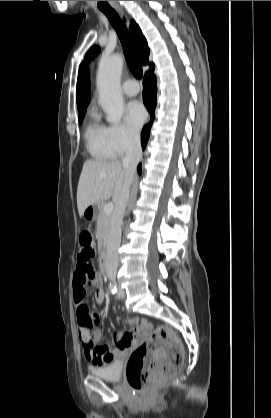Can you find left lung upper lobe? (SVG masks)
Segmentation results:
<instances>
[{"mask_svg": "<svg viewBox=\"0 0 271 418\" xmlns=\"http://www.w3.org/2000/svg\"><path fill=\"white\" fill-rule=\"evenodd\" d=\"M99 51L98 47H93L89 50V52L86 55L85 60L92 58L93 56H95L97 54V52Z\"/></svg>", "mask_w": 271, "mask_h": 418, "instance_id": "5c2ea615", "label": "left lung upper lobe"}]
</instances>
